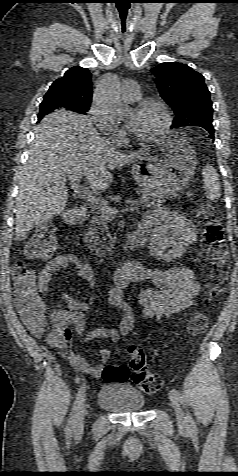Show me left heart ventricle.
<instances>
[{
    "instance_id": "obj_1",
    "label": "left heart ventricle",
    "mask_w": 238,
    "mask_h": 476,
    "mask_svg": "<svg viewBox=\"0 0 238 476\" xmlns=\"http://www.w3.org/2000/svg\"><path fill=\"white\" fill-rule=\"evenodd\" d=\"M162 111L153 106L146 107L139 111L133 110L126 116V122L130 129L139 136H146L163 123Z\"/></svg>"
}]
</instances>
